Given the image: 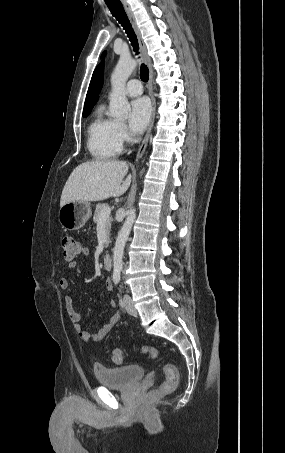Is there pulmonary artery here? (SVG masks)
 <instances>
[{"label": "pulmonary artery", "instance_id": "1", "mask_svg": "<svg viewBox=\"0 0 285 453\" xmlns=\"http://www.w3.org/2000/svg\"><path fill=\"white\" fill-rule=\"evenodd\" d=\"M142 91V85L138 79H131L127 82L125 92L128 96H139L142 94Z\"/></svg>", "mask_w": 285, "mask_h": 453}]
</instances>
